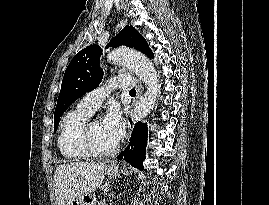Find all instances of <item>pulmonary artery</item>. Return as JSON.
Wrapping results in <instances>:
<instances>
[{
	"label": "pulmonary artery",
	"mask_w": 269,
	"mask_h": 205,
	"mask_svg": "<svg viewBox=\"0 0 269 205\" xmlns=\"http://www.w3.org/2000/svg\"><path fill=\"white\" fill-rule=\"evenodd\" d=\"M136 86V80L131 75L119 76L108 81V83L99 87L90 93L86 94L78 103L81 108L93 113L101 102L109 95V93L119 87L121 89L127 90L132 89Z\"/></svg>",
	"instance_id": "e3ab8cb5"
}]
</instances>
